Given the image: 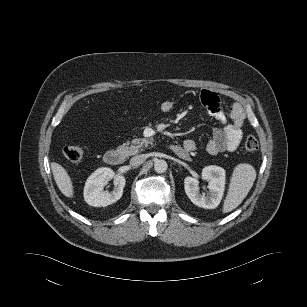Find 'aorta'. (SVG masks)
I'll list each match as a JSON object with an SVG mask.
<instances>
[{
	"mask_svg": "<svg viewBox=\"0 0 307 307\" xmlns=\"http://www.w3.org/2000/svg\"><path fill=\"white\" fill-rule=\"evenodd\" d=\"M168 168L167 162L165 160H156L154 163V170L157 173H164Z\"/></svg>",
	"mask_w": 307,
	"mask_h": 307,
	"instance_id": "obj_1",
	"label": "aorta"
}]
</instances>
